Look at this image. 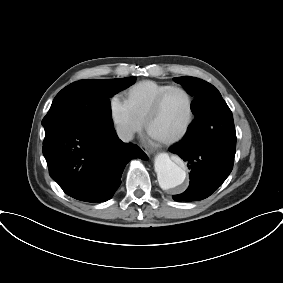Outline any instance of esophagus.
Returning a JSON list of instances; mask_svg holds the SVG:
<instances>
[{"mask_svg":"<svg viewBox=\"0 0 283 283\" xmlns=\"http://www.w3.org/2000/svg\"><path fill=\"white\" fill-rule=\"evenodd\" d=\"M151 153H153V151H152V150H150V151H149V154H151Z\"/></svg>","mask_w":283,"mask_h":283,"instance_id":"esophagus-1","label":"esophagus"}]
</instances>
